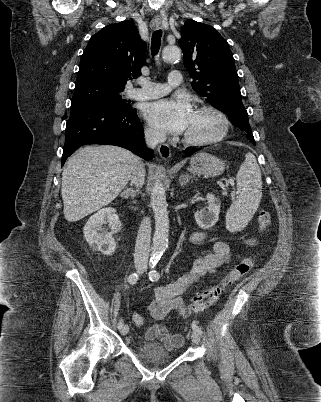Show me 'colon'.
<instances>
[{
  "label": "colon",
  "instance_id": "1",
  "mask_svg": "<svg viewBox=\"0 0 321 402\" xmlns=\"http://www.w3.org/2000/svg\"><path fill=\"white\" fill-rule=\"evenodd\" d=\"M257 221L259 230L261 232L266 231L271 225L270 213L266 210L260 211ZM254 260V256H246L242 260H240L237 264L233 266V268L219 283L210 287L209 289L198 295L196 298H194L189 305V311L199 312L214 303L227 285L250 271L254 264ZM133 321L138 326L143 325L144 322L143 317L138 313H135L133 315Z\"/></svg>",
  "mask_w": 321,
  "mask_h": 402
}]
</instances>
